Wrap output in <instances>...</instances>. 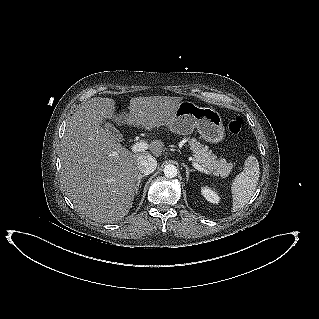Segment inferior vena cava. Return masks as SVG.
<instances>
[{
	"mask_svg": "<svg viewBox=\"0 0 319 319\" xmlns=\"http://www.w3.org/2000/svg\"><path fill=\"white\" fill-rule=\"evenodd\" d=\"M156 167H157L156 159L151 155H147L140 159L138 170L140 173L144 175H149L155 171Z\"/></svg>",
	"mask_w": 319,
	"mask_h": 319,
	"instance_id": "1",
	"label": "inferior vena cava"
}]
</instances>
